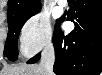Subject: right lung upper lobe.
Instances as JSON below:
<instances>
[{
  "instance_id": "right-lung-upper-lobe-1",
  "label": "right lung upper lobe",
  "mask_w": 102,
  "mask_h": 75,
  "mask_svg": "<svg viewBox=\"0 0 102 75\" xmlns=\"http://www.w3.org/2000/svg\"><path fill=\"white\" fill-rule=\"evenodd\" d=\"M39 0H8V15L39 9Z\"/></svg>"
}]
</instances>
